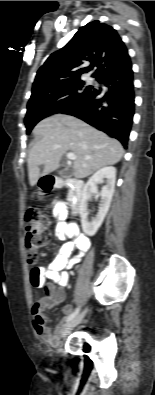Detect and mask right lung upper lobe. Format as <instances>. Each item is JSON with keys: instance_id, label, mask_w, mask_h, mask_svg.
Segmentation results:
<instances>
[{"instance_id": "cb5924a9", "label": "right lung upper lobe", "mask_w": 155, "mask_h": 395, "mask_svg": "<svg viewBox=\"0 0 155 395\" xmlns=\"http://www.w3.org/2000/svg\"><path fill=\"white\" fill-rule=\"evenodd\" d=\"M131 65L128 50L117 31L96 20L81 27L63 48L49 56L37 72L32 95L47 86L80 79L94 67L92 77L99 80L109 72Z\"/></svg>"}]
</instances>
